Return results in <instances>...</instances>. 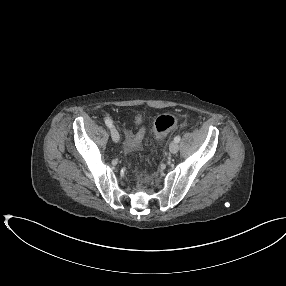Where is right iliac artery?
I'll list each match as a JSON object with an SVG mask.
<instances>
[{"instance_id": "82829eb1", "label": "right iliac artery", "mask_w": 286, "mask_h": 286, "mask_svg": "<svg viewBox=\"0 0 286 286\" xmlns=\"http://www.w3.org/2000/svg\"><path fill=\"white\" fill-rule=\"evenodd\" d=\"M105 124H106L109 128H112V127H113L112 121H111L109 118H106V119H105Z\"/></svg>"}]
</instances>
